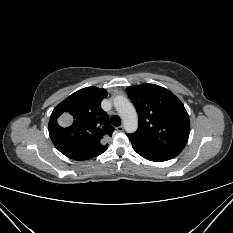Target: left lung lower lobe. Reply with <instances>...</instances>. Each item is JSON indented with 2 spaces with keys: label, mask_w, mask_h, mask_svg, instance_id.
<instances>
[{
  "label": "left lung lower lobe",
  "mask_w": 233,
  "mask_h": 233,
  "mask_svg": "<svg viewBox=\"0 0 233 233\" xmlns=\"http://www.w3.org/2000/svg\"><path fill=\"white\" fill-rule=\"evenodd\" d=\"M133 149H134L139 155H141L142 157H144L145 159L150 160V161L162 162V161H167V160L170 159V158H166V157H163V156H159V155H156V154H153V153H150V152H147V151H144V150L135 148V147H133Z\"/></svg>",
  "instance_id": "obj_1"
}]
</instances>
